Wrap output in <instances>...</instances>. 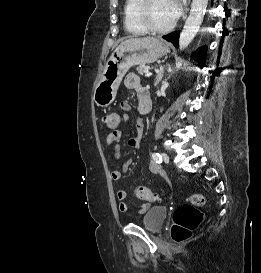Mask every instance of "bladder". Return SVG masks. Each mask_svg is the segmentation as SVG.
<instances>
[{"mask_svg":"<svg viewBox=\"0 0 261 273\" xmlns=\"http://www.w3.org/2000/svg\"><path fill=\"white\" fill-rule=\"evenodd\" d=\"M167 214L168 211L163 206L148 207L142 218V225L149 232H157L163 227Z\"/></svg>","mask_w":261,"mask_h":273,"instance_id":"bladder-1","label":"bladder"}]
</instances>
